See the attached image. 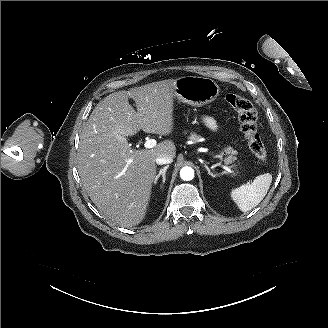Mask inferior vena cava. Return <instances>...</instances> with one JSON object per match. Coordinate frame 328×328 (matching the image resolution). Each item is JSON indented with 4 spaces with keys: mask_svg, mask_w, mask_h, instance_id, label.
Segmentation results:
<instances>
[{
    "mask_svg": "<svg viewBox=\"0 0 328 328\" xmlns=\"http://www.w3.org/2000/svg\"><path fill=\"white\" fill-rule=\"evenodd\" d=\"M172 162H173V158L170 157V156H165V155L159 156L156 159V163L158 165L169 164V163H172Z\"/></svg>",
    "mask_w": 328,
    "mask_h": 328,
    "instance_id": "602c4592",
    "label": "inferior vena cava"
}]
</instances>
